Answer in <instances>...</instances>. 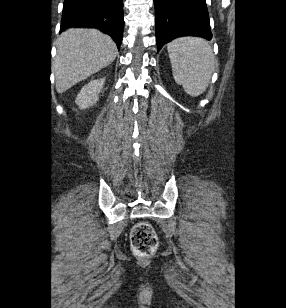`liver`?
I'll return each mask as SVG.
<instances>
[{
	"label": "liver",
	"mask_w": 286,
	"mask_h": 308,
	"mask_svg": "<svg viewBox=\"0 0 286 308\" xmlns=\"http://www.w3.org/2000/svg\"><path fill=\"white\" fill-rule=\"evenodd\" d=\"M117 55L114 41L94 29H69L57 41L54 61L56 90L63 93L111 64Z\"/></svg>",
	"instance_id": "liver-1"
}]
</instances>
